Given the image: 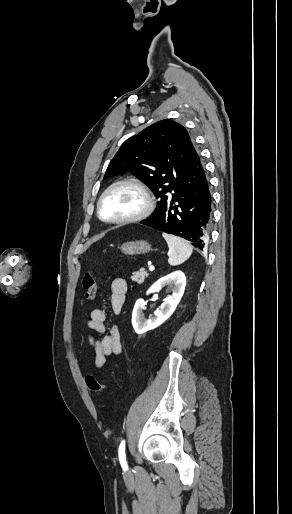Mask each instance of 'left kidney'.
I'll return each mask as SVG.
<instances>
[{
    "mask_svg": "<svg viewBox=\"0 0 292 514\" xmlns=\"http://www.w3.org/2000/svg\"><path fill=\"white\" fill-rule=\"evenodd\" d=\"M166 284L173 286L172 296L165 298L162 306H160V310H155L153 318H148V320L144 318L142 310H146L145 302L144 300H137L132 312V326L136 334H145V332H149V330L158 328V326H161V324H163L165 320H168L173 312H175L184 294L186 286L185 274L177 270V272H172V274L160 278V280H157V282L149 288L147 294L159 292Z\"/></svg>",
    "mask_w": 292,
    "mask_h": 514,
    "instance_id": "5707ae66",
    "label": "left kidney"
}]
</instances>
